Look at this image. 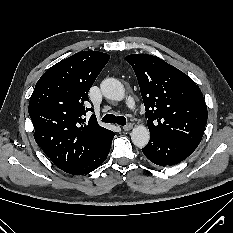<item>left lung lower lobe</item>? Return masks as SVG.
Listing matches in <instances>:
<instances>
[{
	"label": "left lung lower lobe",
	"instance_id": "obj_1",
	"mask_svg": "<svg viewBox=\"0 0 233 233\" xmlns=\"http://www.w3.org/2000/svg\"><path fill=\"white\" fill-rule=\"evenodd\" d=\"M195 149L178 141L150 135V141L142 151L154 164L172 166L186 159Z\"/></svg>",
	"mask_w": 233,
	"mask_h": 233
}]
</instances>
